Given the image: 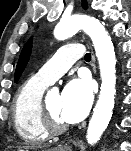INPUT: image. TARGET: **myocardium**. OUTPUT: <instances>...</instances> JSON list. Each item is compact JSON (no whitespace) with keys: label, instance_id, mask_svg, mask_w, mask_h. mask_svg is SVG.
Listing matches in <instances>:
<instances>
[{"label":"myocardium","instance_id":"f54148a6","mask_svg":"<svg viewBox=\"0 0 131 151\" xmlns=\"http://www.w3.org/2000/svg\"><path fill=\"white\" fill-rule=\"evenodd\" d=\"M42 117L44 125L49 134H61L68 129V125L58 121L50 111L47 103V98L42 99L41 103Z\"/></svg>","mask_w":131,"mask_h":151}]
</instances>
